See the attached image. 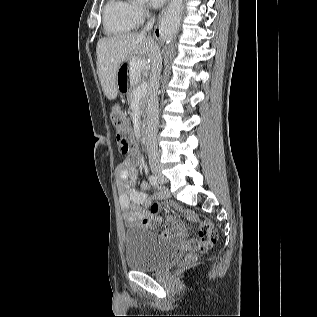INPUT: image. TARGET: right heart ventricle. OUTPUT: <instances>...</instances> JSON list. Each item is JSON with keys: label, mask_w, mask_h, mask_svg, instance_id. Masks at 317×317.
Here are the masks:
<instances>
[{"label": "right heart ventricle", "mask_w": 317, "mask_h": 317, "mask_svg": "<svg viewBox=\"0 0 317 317\" xmlns=\"http://www.w3.org/2000/svg\"><path fill=\"white\" fill-rule=\"evenodd\" d=\"M103 25L108 35L128 33L138 25L133 5L128 0H107L103 9Z\"/></svg>", "instance_id": "e07e8e85"}]
</instances>
